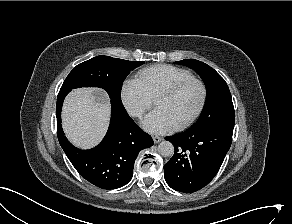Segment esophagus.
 <instances>
[{
  "label": "esophagus",
  "mask_w": 292,
  "mask_h": 224,
  "mask_svg": "<svg viewBox=\"0 0 292 224\" xmlns=\"http://www.w3.org/2000/svg\"><path fill=\"white\" fill-rule=\"evenodd\" d=\"M162 140H163L162 137H159V136H153V141H154V143H159V142H161Z\"/></svg>",
  "instance_id": "34e87169"
}]
</instances>
